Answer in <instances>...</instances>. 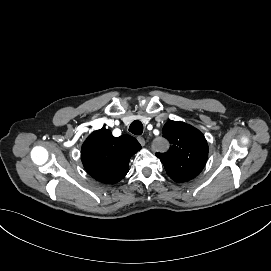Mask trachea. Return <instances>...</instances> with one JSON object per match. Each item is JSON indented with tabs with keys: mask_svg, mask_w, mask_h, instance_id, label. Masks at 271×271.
Here are the masks:
<instances>
[{
	"mask_svg": "<svg viewBox=\"0 0 271 271\" xmlns=\"http://www.w3.org/2000/svg\"><path fill=\"white\" fill-rule=\"evenodd\" d=\"M129 131L135 135L143 133V124L139 120H135L130 124Z\"/></svg>",
	"mask_w": 271,
	"mask_h": 271,
	"instance_id": "trachea-1",
	"label": "trachea"
}]
</instances>
